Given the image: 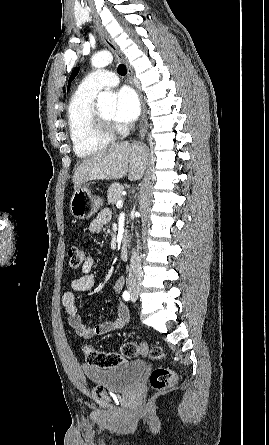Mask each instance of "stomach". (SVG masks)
Segmentation results:
<instances>
[{
	"instance_id": "0dacf381",
	"label": "stomach",
	"mask_w": 269,
	"mask_h": 445,
	"mask_svg": "<svg viewBox=\"0 0 269 445\" xmlns=\"http://www.w3.org/2000/svg\"><path fill=\"white\" fill-rule=\"evenodd\" d=\"M102 204L103 200L93 195L88 185L83 184L71 197L70 212L76 219L85 220L92 217Z\"/></svg>"
}]
</instances>
